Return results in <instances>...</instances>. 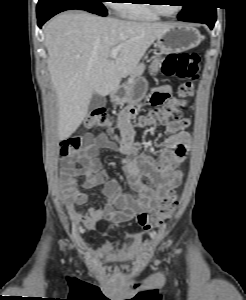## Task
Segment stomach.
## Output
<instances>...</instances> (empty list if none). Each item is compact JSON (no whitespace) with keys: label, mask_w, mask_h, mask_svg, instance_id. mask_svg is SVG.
Wrapping results in <instances>:
<instances>
[{"label":"stomach","mask_w":246,"mask_h":300,"mask_svg":"<svg viewBox=\"0 0 246 300\" xmlns=\"http://www.w3.org/2000/svg\"><path fill=\"white\" fill-rule=\"evenodd\" d=\"M203 36L198 29L189 24L172 25L165 33L157 38L156 47L159 51L157 57L151 63L152 71L155 70L159 61L158 57L171 53H180L194 47H197ZM148 88L146 79L138 77L134 83L126 88L119 87L110 94L111 101L114 104L138 103L140 102Z\"/></svg>","instance_id":"1"}]
</instances>
